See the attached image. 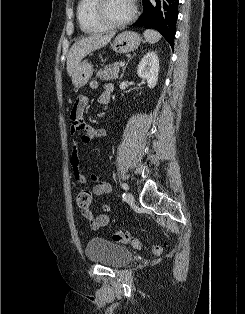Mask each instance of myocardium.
I'll use <instances>...</instances> for the list:
<instances>
[{
	"label": "myocardium",
	"instance_id": "f54148a6",
	"mask_svg": "<svg viewBox=\"0 0 245 314\" xmlns=\"http://www.w3.org/2000/svg\"><path fill=\"white\" fill-rule=\"evenodd\" d=\"M104 2L105 0H95V4L93 7V14L96 21L100 23L101 25H103L106 29H117V28L125 27L128 24H130L137 16V13H138L137 6L134 0H131L132 12L130 16L121 22H116V23L110 22L105 18L103 14Z\"/></svg>",
	"mask_w": 245,
	"mask_h": 314
}]
</instances>
